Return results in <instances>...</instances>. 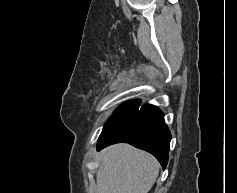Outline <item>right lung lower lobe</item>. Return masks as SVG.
Here are the masks:
<instances>
[{
  "label": "right lung lower lobe",
  "mask_w": 237,
  "mask_h": 193,
  "mask_svg": "<svg viewBox=\"0 0 237 193\" xmlns=\"http://www.w3.org/2000/svg\"><path fill=\"white\" fill-rule=\"evenodd\" d=\"M132 100L121 105L106 122L98 139L101 150L115 143H129L154 155L163 169L168 161L171 134L163 113L155 106Z\"/></svg>",
  "instance_id": "right-lung-lower-lobe-1"
}]
</instances>
